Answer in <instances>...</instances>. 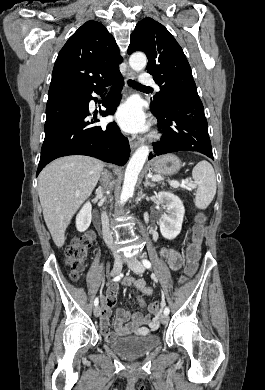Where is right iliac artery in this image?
<instances>
[{"mask_svg": "<svg viewBox=\"0 0 265 390\" xmlns=\"http://www.w3.org/2000/svg\"><path fill=\"white\" fill-rule=\"evenodd\" d=\"M122 276H123V275L120 274V275L114 277V278H113V281H115V282H116V281H119V280L122 278ZM98 303H99V300H98V297H96L95 300H94V305L97 306Z\"/></svg>", "mask_w": 265, "mask_h": 390, "instance_id": "1", "label": "right iliac artery"}]
</instances>
